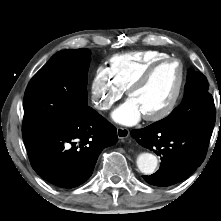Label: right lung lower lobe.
<instances>
[{"mask_svg":"<svg viewBox=\"0 0 221 221\" xmlns=\"http://www.w3.org/2000/svg\"><path fill=\"white\" fill-rule=\"evenodd\" d=\"M30 163L47 182L73 188L87 181L101 151L117 141L116 128L88 107L67 126L23 135Z\"/></svg>","mask_w":221,"mask_h":221,"instance_id":"right-lung-lower-lobe-1","label":"right lung lower lobe"}]
</instances>
